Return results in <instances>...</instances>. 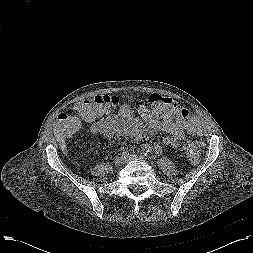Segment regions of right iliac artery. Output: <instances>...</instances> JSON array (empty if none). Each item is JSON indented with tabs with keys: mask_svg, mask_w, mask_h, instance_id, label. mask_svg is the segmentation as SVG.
<instances>
[{
	"mask_svg": "<svg viewBox=\"0 0 253 253\" xmlns=\"http://www.w3.org/2000/svg\"><path fill=\"white\" fill-rule=\"evenodd\" d=\"M129 156V152L128 151H123L122 152V157L123 158H127Z\"/></svg>",
	"mask_w": 253,
	"mask_h": 253,
	"instance_id": "1",
	"label": "right iliac artery"
}]
</instances>
